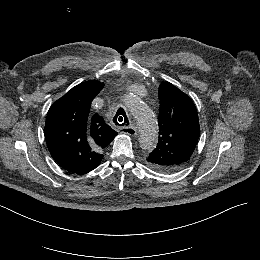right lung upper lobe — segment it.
<instances>
[{
    "label": "right lung upper lobe",
    "mask_w": 260,
    "mask_h": 260,
    "mask_svg": "<svg viewBox=\"0 0 260 260\" xmlns=\"http://www.w3.org/2000/svg\"><path fill=\"white\" fill-rule=\"evenodd\" d=\"M98 81L73 87L49 109L45 139L53 159L71 173L85 174L101 162L102 152L117 132L98 114H89L92 100L103 88Z\"/></svg>",
    "instance_id": "right-lung-upper-lobe-1"
}]
</instances>
